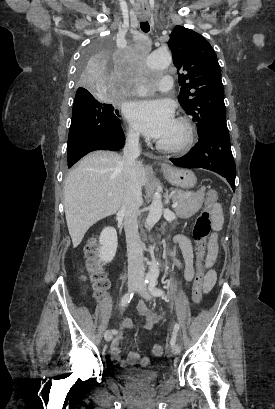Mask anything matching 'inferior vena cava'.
I'll return each mask as SVG.
<instances>
[{
	"label": "inferior vena cava",
	"mask_w": 275,
	"mask_h": 409,
	"mask_svg": "<svg viewBox=\"0 0 275 409\" xmlns=\"http://www.w3.org/2000/svg\"><path fill=\"white\" fill-rule=\"evenodd\" d=\"M124 194L120 213L124 215V229L128 255V279L144 281V263L137 217L142 202L141 182L136 160L140 154L139 132L129 130L123 150Z\"/></svg>",
	"instance_id": "inferior-vena-cava-1"
}]
</instances>
